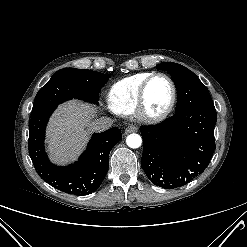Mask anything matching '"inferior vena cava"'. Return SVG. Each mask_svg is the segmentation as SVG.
<instances>
[{
    "label": "inferior vena cava",
    "instance_id": "1",
    "mask_svg": "<svg viewBox=\"0 0 247 247\" xmlns=\"http://www.w3.org/2000/svg\"><path fill=\"white\" fill-rule=\"evenodd\" d=\"M113 124V120L109 117H100L94 120L90 124V128L92 131L103 132L108 130Z\"/></svg>",
    "mask_w": 247,
    "mask_h": 247
}]
</instances>
